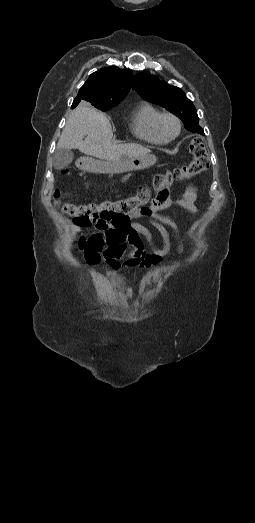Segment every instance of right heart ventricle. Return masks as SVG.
Listing matches in <instances>:
<instances>
[{"label": "right heart ventricle", "mask_w": 255, "mask_h": 523, "mask_svg": "<svg viewBox=\"0 0 255 523\" xmlns=\"http://www.w3.org/2000/svg\"><path fill=\"white\" fill-rule=\"evenodd\" d=\"M162 112L152 103L143 102L139 105L133 119V134L140 140L162 144L165 140L157 129V121Z\"/></svg>", "instance_id": "1"}]
</instances>
